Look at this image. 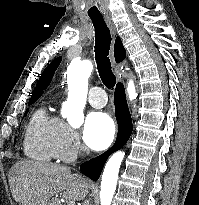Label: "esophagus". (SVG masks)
<instances>
[{
    "mask_svg": "<svg viewBox=\"0 0 199 205\" xmlns=\"http://www.w3.org/2000/svg\"><path fill=\"white\" fill-rule=\"evenodd\" d=\"M105 20H106V23L108 24V26L110 28V31H111V33H112V35L114 37L115 34H116V29H115V26H114L113 22L111 21V19L109 17H106ZM110 57H111V60L113 62V65L115 66L116 64H115V61H114L113 50L112 49H111V52H110ZM117 80L121 81V78L118 77Z\"/></svg>",
    "mask_w": 199,
    "mask_h": 205,
    "instance_id": "obj_1",
    "label": "esophagus"
}]
</instances>
